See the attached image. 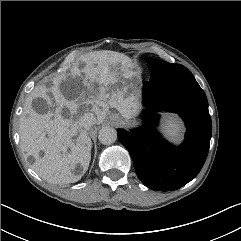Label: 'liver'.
Segmentation results:
<instances>
[{"mask_svg":"<svg viewBox=\"0 0 241 241\" xmlns=\"http://www.w3.org/2000/svg\"><path fill=\"white\" fill-rule=\"evenodd\" d=\"M130 68L131 59L124 54L100 51L90 55L82 70L74 66L68 75L55 78L50 88L39 86L33 90L24 106L19 134L21 149L27 157L35 159L31 168L39 176L51 183L63 185L80 180L88 170L92 141L79 124L83 113H94L96 124L104 121L110 107L117 109L127 119L137 113L135 97H125L126 88L109 94L119 76L132 77ZM79 77L83 80L85 90L76 97H66L61 85L70 87L76 84ZM48 91L55 100L53 112ZM38 98L46 101L49 109L46 113H38L33 108L32 101ZM63 108L68 110L67 116L62 115ZM41 151L44 152L43 157L39 155ZM77 165L81 167L79 173H75Z\"/></svg>","mask_w":241,"mask_h":241,"instance_id":"obj_1","label":"liver"}]
</instances>
